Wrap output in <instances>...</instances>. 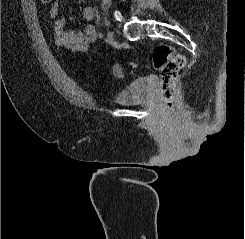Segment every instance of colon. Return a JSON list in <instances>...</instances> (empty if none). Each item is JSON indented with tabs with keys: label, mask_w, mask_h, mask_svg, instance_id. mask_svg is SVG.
<instances>
[{
	"label": "colon",
	"mask_w": 245,
	"mask_h": 239,
	"mask_svg": "<svg viewBox=\"0 0 245 239\" xmlns=\"http://www.w3.org/2000/svg\"><path fill=\"white\" fill-rule=\"evenodd\" d=\"M43 4H51L53 0H40ZM152 63L160 72V95L164 102L171 105L176 86L185 67V57L173 47L161 44L152 53ZM115 76L122 77L123 69L119 64L113 68Z\"/></svg>",
	"instance_id": "obj_1"
}]
</instances>
